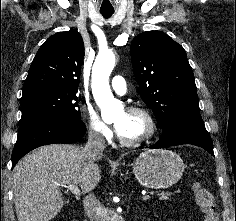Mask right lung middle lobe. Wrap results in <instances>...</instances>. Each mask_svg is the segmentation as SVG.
Segmentation results:
<instances>
[{"label":"right lung middle lobe","mask_w":236,"mask_h":221,"mask_svg":"<svg viewBox=\"0 0 236 221\" xmlns=\"http://www.w3.org/2000/svg\"><path fill=\"white\" fill-rule=\"evenodd\" d=\"M77 92L38 90L23 94L21 98V120L37 116H53L81 122Z\"/></svg>","instance_id":"1"}]
</instances>
